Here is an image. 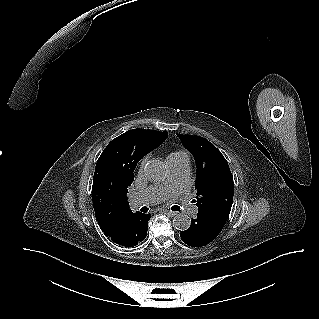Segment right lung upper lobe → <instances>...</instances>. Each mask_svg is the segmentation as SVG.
<instances>
[{
    "label": "right lung upper lobe",
    "instance_id": "right-lung-upper-lobe-1",
    "mask_svg": "<svg viewBox=\"0 0 319 319\" xmlns=\"http://www.w3.org/2000/svg\"><path fill=\"white\" fill-rule=\"evenodd\" d=\"M167 136V132L132 129L113 139L109 144L126 148L139 162L143 156L163 143ZM94 210L99 226L106 235H110L115 225L132 212L127 199L107 206H97Z\"/></svg>",
    "mask_w": 319,
    "mask_h": 319
}]
</instances>
